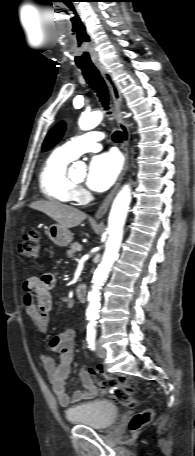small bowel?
<instances>
[{"label": "small bowel", "instance_id": "small-bowel-1", "mask_svg": "<svg viewBox=\"0 0 195 456\" xmlns=\"http://www.w3.org/2000/svg\"><path fill=\"white\" fill-rule=\"evenodd\" d=\"M53 274L32 276L23 284V304L27 315L34 322L39 333L44 334L49 328V314L52 309L50 290L55 286ZM76 333L71 328H65L53 336L42 353L41 361L52 385L58 403L66 407L72 403L103 396L105 391L95 386L90 373L81 369L79 376L83 385L82 390L74 391L71 396L66 392V379L74 358ZM58 354V363L51 353Z\"/></svg>", "mask_w": 195, "mask_h": 456}]
</instances>
